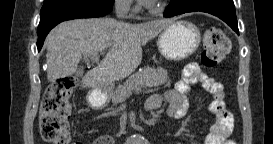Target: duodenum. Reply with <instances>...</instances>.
I'll use <instances>...</instances> for the list:
<instances>
[{
	"label": "duodenum",
	"instance_id": "obj_1",
	"mask_svg": "<svg viewBox=\"0 0 273 144\" xmlns=\"http://www.w3.org/2000/svg\"><path fill=\"white\" fill-rule=\"evenodd\" d=\"M96 90H97V91H101L102 88H101L100 86H98V87L96 88Z\"/></svg>",
	"mask_w": 273,
	"mask_h": 144
}]
</instances>
